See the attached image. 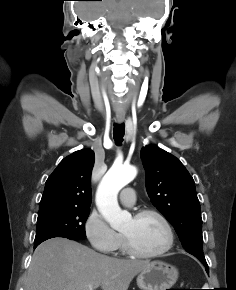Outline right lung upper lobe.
<instances>
[{
  "mask_svg": "<svg viewBox=\"0 0 236 290\" xmlns=\"http://www.w3.org/2000/svg\"><path fill=\"white\" fill-rule=\"evenodd\" d=\"M94 152L82 149L64 158L46 181L39 209L47 207L89 208Z\"/></svg>",
  "mask_w": 236,
  "mask_h": 290,
  "instance_id": "obj_1",
  "label": "right lung upper lobe"
}]
</instances>
